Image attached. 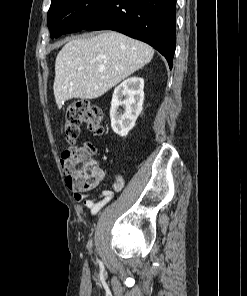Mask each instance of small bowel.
<instances>
[{"instance_id":"c3829d8e","label":"small bowel","mask_w":247,"mask_h":296,"mask_svg":"<svg viewBox=\"0 0 247 296\" xmlns=\"http://www.w3.org/2000/svg\"><path fill=\"white\" fill-rule=\"evenodd\" d=\"M102 177L113 178V190L104 189L97 196L89 197L86 193L76 192L74 199L77 202H82L84 207L90 211L91 214H97L105 205H107L114 196V191L119 192L124 187V178L118 173H107L103 170Z\"/></svg>"}]
</instances>
